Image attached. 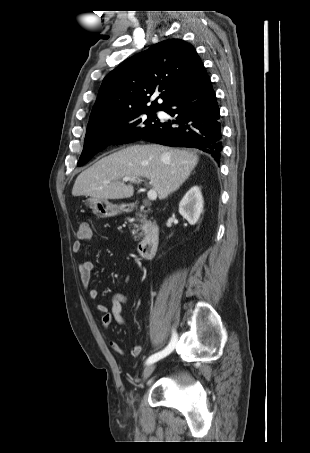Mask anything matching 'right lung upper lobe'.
Instances as JSON below:
<instances>
[{"instance_id":"right-lung-upper-lobe-1","label":"right lung upper lobe","mask_w":310,"mask_h":453,"mask_svg":"<svg viewBox=\"0 0 310 453\" xmlns=\"http://www.w3.org/2000/svg\"><path fill=\"white\" fill-rule=\"evenodd\" d=\"M195 48L180 39L151 46L122 62L104 78L88 126L140 110H161L203 68ZM160 91L149 106L151 95ZM87 126V127H88Z\"/></svg>"}]
</instances>
